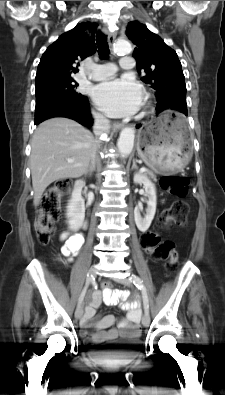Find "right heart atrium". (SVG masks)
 Listing matches in <instances>:
<instances>
[{
	"label": "right heart atrium",
	"instance_id": "right-heart-atrium-1",
	"mask_svg": "<svg viewBox=\"0 0 225 395\" xmlns=\"http://www.w3.org/2000/svg\"><path fill=\"white\" fill-rule=\"evenodd\" d=\"M94 115H95L97 118H101V116H100L98 113H94Z\"/></svg>",
	"mask_w": 225,
	"mask_h": 395
}]
</instances>
